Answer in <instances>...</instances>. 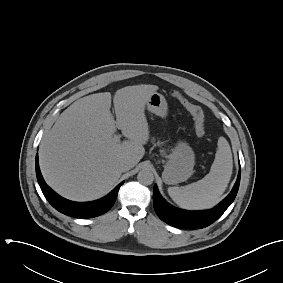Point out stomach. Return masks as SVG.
<instances>
[{"label":"stomach","instance_id":"stomach-1","mask_svg":"<svg viewBox=\"0 0 283 283\" xmlns=\"http://www.w3.org/2000/svg\"><path fill=\"white\" fill-rule=\"evenodd\" d=\"M147 109L165 118L168 114V105L165 97L154 92L148 99ZM164 166L162 173L163 180L166 184H177L186 181L192 174L195 165V154L192 148L185 141H178Z\"/></svg>","mask_w":283,"mask_h":283}]
</instances>
